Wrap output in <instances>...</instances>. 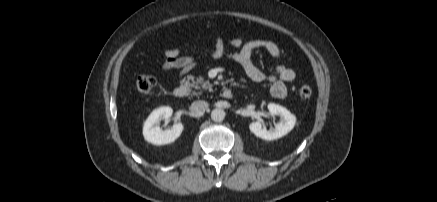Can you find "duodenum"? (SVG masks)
<instances>
[{
  "instance_id": "obj_1",
  "label": "duodenum",
  "mask_w": 437,
  "mask_h": 202,
  "mask_svg": "<svg viewBox=\"0 0 437 202\" xmlns=\"http://www.w3.org/2000/svg\"><path fill=\"white\" fill-rule=\"evenodd\" d=\"M173 94L177 99H183L187 95V90L184 86L179 85L174 88ZM233 91L229 88H226L222 91V97L225 99H231L233 97Z\"/></svg>"
}]
</instances>
